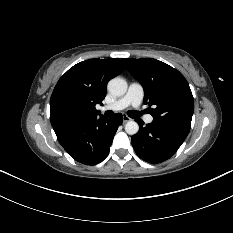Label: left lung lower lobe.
<instances>
[{
  "label": "left lung lower lobe",
  "instance_id": "obj_1",
  "mask_svg": "<svg viewBox=\"0 0 233 233\" xmlns=\"http://www.w3.org/2000/svg\"><path fill=\"white\" fill-rule=\"evenodd\" d=\"M136 121L140 129L132 137L133 148L141 159L153 164L173 156L189 133L185 128L155 119L146 126L141 119Z\"/></svg>",
  "mask_w": 233,
  "mask_h": 233
}]
</instances>
